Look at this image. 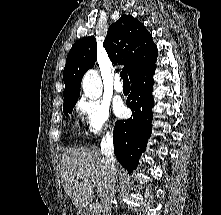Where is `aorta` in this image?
<instances>
[{"label":"aorta","instance_id":"obj_1","mask_svg":"<svg viewBox=\"0 0 221 215\" xmlns=\"http://www.w3.org/2000/svg\"><path fill=\"white\" fill-rule=\"evenodd\" d=\"M82 89L86 97L98 99L102 94V83L95 70L88 71L82 81Z\"/></svg>","mask_w":221,"mask_h":215}]
</instances>
